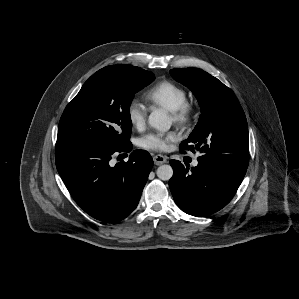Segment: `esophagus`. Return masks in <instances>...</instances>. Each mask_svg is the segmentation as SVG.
Here are the masks:
<instances>
[{"mask_svg": "<svg viewBox=\"0 0 299 299\" xmlns=\"http://www.w3.org/2000/svg\"><path fill=\"white\" fill-rule=\"evenodd\" d=\"M153 160L156 165H161L166 163L167 158L161 154H157L153 157Z\"/></svg>", "mask_w": 299, "mask_h": 299, "instance_id": "1", "label": "esophagus"}]
</instances>
